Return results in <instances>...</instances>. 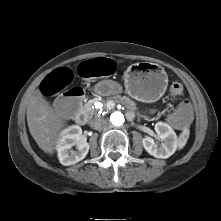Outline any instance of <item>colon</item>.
Instances as JSON below:
<instances>
[{
    "mask_svg": "<svg viewBox=\"0 0 221 221\" xmlns=\"http://www.w3.org/2000/svg\"><path fill=\"white\" fill-rule=\"evenodd\" d=\"M114 70V62L110 59H99L82 64L79 71L84 76L108 75ZM73 80V73L70 69L61 68L53 71L45 77L41 84V91L44 95L52 96L64 90ZM173 95L183 93V86L175 82L170 86ZM85 89L81 85H72L60 96V101L56 105V112L62 118L71 117L75 109L83 105L85 99ZM195 106L193 103L184 101L177 110L169 114V122L176 128H183L194 121L193 113Z\"/></svg>",
    "mask_w": 221,
    "mask_h": 221,
    "instance_id": "obj_1",
    "label": "colon"
}]
</instances>
